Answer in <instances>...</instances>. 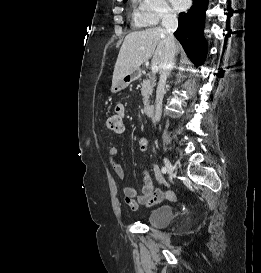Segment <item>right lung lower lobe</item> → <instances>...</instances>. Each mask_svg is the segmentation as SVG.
Wrapping results in <instances>:
<instances>
[{"instance_id": "98d812e1", "label": "right lung lower lobe", "mask_w": 261, "mask_h": 273, "mask_svg": "<svg viewBox=\"0 0 261 273\" xmlns=\"http://www.w3.org/2000/svg\"><path fill=\"white\" fill-rule=\"evenodd\" d=\"M207 3L208 0H193L192 7L179 14V27L174 33L188 57L197 66L204 62L207 53V43L203 36Z\"/></svg>"}]
</instances>
